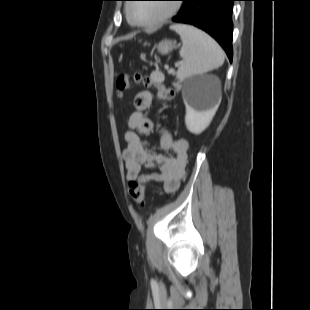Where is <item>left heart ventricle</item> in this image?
<instances>
[{"label": "left heart ventricle", "instance_id": "1", "mask_svg": "<svg viewBox=\"0 0 310 310\" xmlns=\"http://www.w3.org/2000/svg\"><path fill=\"white\" fill-rule=\"evenodd\" d=\"M168 9V3H136L131 7L132 18L147 22L161 17Z\"/></svg>", "mask_w": 310, "mask_h": 310}]
</instances>
